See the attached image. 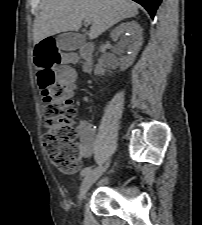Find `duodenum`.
Here are the masks:
<instances>
[{"label": "duodenum", "instance_id": "1", "mask_svg": "<svg viewBox=\"0 0 202 225\" xmlns=\"http://www.w3.org/2000/svg\"><path fill=\"white\" fill-rule=\"evenodd\" d=\"M94 46L90 43H85L80 50V55L83 59L84 69L89 71L91 68V57L93 54Z\"/></svg>", "mask_w": 202, "mask_h": 225}]
</instances>
